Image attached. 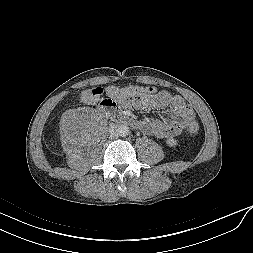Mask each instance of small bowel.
Masks as SVG:
<instances>
[{
    "instance_id": "1",
    "label": "small bowel",
    "mask_w": 253,
    "mask_h": 253,
    "mask_svg": "<svg viewBox=\"0 0 253 253\" xmlns=\"http://www.w3.org/2000/svg\"><path fill=\"white\" fill-rule=\"evenodd\" d=\"M120 103L125 108L133 107L138 110L167 108L172 116L170 121L157 119L140 123V128L144 132L158 139L178 136L185 129L188 120L194 118L193 109L179 95L155 91L130 101H118L110 97H101L99 99V104L107 109L118 110Z\"/></svg>"
}]
</instances>
